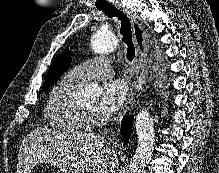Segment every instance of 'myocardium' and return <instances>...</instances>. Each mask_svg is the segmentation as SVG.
<instances>
[{
    "label": "myocardium",
    "mask_w": 219,
    "mask_h": 173,
    "mask_svg": "<svg viewBox=\"0 0 219 173\" xmlns=\"http://www.w3.org/2000/svg\"><path fill=\"white\" fill-rule=\"evenodd\" d=\"M78 108H79L81 114L83 116H85L86 118H90L93 115V112H89V111L83 109L81 106H78Z\"/></svg>",
    "instance_id": "1"
}]
</instances>
